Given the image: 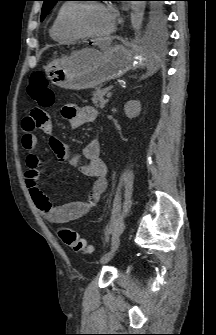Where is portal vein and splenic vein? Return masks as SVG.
<instances>
[{
  "mask_svg": "<svg viewBox=\"0 0 216 335\" xmlns=\"http://www.w3.org/2000/svg\"><path fill=\"white\" fill-rule=\"evenodd\" d=\"M112 97V92H109L108 94H107V98H111Z\"/></svg>",
  "mask_w": 216,
  "mask_h": 335,
  "instance_id": "1",
  "label": "portal vein and splenic vein"
}]
</instances>
